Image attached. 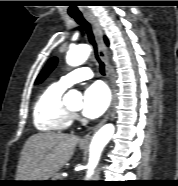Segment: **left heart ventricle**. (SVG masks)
Returning <instances> with one entry per match:
<instances>
[{"mask_svg": "<svg viewBox=\"0 0 178 186\" xmlns=\"http://www.w3.org/2000/svg\"><path fill=\"white\" fill-rule=\"evenodd\" d=\"M69 108H70L72 111H75V112L78 111V109H79L78 107H69Z\"/></svg>", "mask_w": 178, "mask_h": 186, "instance_id": "b2bd125f", "label": "left heart ventricle"}]
</instances>
